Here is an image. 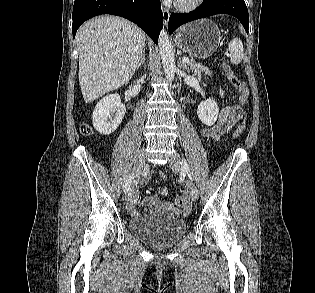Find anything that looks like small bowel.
<instances>
[{
	"label": "small bowel",
	"mask_w": 315,
	"mask_h": 293,
	"mask_svg": "<svg viewBox=\"0 0 315 293\" xmlns=\"http://www.w3.org/2000/svg\"><path fill=\"white\" fill-rule=\"evenodd\" d=\"M220 95L223 97V92L220 91ZM243 112L242 109L237 105H227L220 112L217 122L212 126H204L200 130L202 137L206 139H217L218 137L228 133L234 127H238V120L242 118ZM162 178H165L163 173L159 174ZM168 194V189L164 188L160 191L158 195L145 197L142 201L143 205L155 212L159 211H173L174 207L170 202L162 201L161 197ZM137 197V191L134 190L133 199L130 201L128 206V211L135 215V200ZM171 218H174V215H171Z\"/></svg>",
	"instance_id": "obj_1"
}]
</instances>
